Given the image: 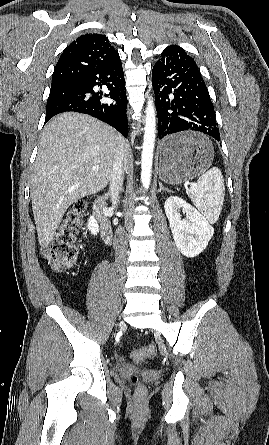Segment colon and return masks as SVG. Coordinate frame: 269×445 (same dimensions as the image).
Masks as SVG:
<instances>
[{"label": "colon", "mask_w": 269, "mask_h": 445, "mask_svg": "<svg viewBox=\"0 0 269 445\" xmlns=\"http://www.w3.org/2000/svg\"><path fill=\"white\" fill-rule=\"evenodd\" d=\"M86 211V203L78 201L74 203L66 212L57 235L43 250V256L56 270L70 268L78 258L77 237L83 224ZM154 348L149 345L141 348H133L131 356L138 362H146L153 355ZM132 385L136 386L139 395L144 393V387L139 384L138 377H130Z\"/></svg>", "instance_id": "1"}]
</instances>
